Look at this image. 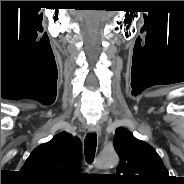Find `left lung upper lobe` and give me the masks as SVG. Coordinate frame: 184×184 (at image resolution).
I'll list each match as a JSON object with an SVG mask.
<instances>
[{
  "mask_svg": "<svg viewBox=\"0 0 184 184\" xmlns=\"http://www.w3.org/2000/svg\"><path fill=\"white\" fill-rule=\"evenodd\" d=\"M120 163L114 179L121 184H169L171 177L153 147L123 127L113 141Z\"/></svg>",
  "mask_w": 184,
  "mask_h": 184,
  "instance_id": "1",
  "label": "left lung upper lobe"
}]
</instances>
